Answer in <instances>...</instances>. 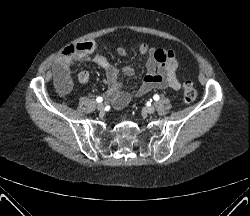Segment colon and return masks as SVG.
Listing matches in <instances>:
<instances>
[{
    "label": "colon",
    "mask_w": 250,
    "mask_h": 216,
    "mask_svg": "<svg viewBox=\"0 0 250 216\" xmlns=\"http://www.w3.org/2000/svg\"><path fill=\"white\" fill-rule=\"evenodd\" d=\"M73 52H74V47H70L64 52V57L69 58L73 54ZM182 93H183V100L187 103L193 102L197 96L196 88L194 84L189 80L184 81Z\"/></svg>",
    "instance_id": "colon-1"
}]
</instances>
